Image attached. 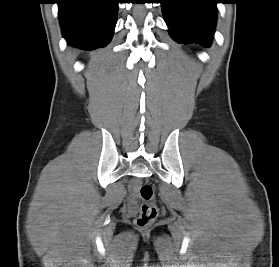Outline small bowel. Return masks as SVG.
<instances>
[{
	"instance_id": "c3829d8e",
	"label": "small bowel",
	"mask_w": 279,
	"mask_h": 267,
	"mask_svg": "<svg viewBox=\"0 0 279 267\" xmlns=\"http://www.w3.org/2000/svg\"><path fill=\"white\" fill-rule=\"evenodd\" d=\"M136 188H137V185H136V183H134V184L132 185V187H131V190H132V193H133V194L135 193Z\"/></svg>"
}]
</instances>
